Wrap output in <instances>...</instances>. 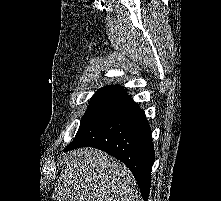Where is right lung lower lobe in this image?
I'll use <instances>...</instances> for the list:
<instances>
[{
  "mask_svg": "<svg viewBox=\"0 0 221 201\" xmlns=\"http://www.w3.org/2000/svg\"><path fill=\"white\" fill-rule=\"evenodd\" d=\"M85 146L99 148L122 161L133 173L147 201L155 161L151 129L143 110L125 89L117 90L64 151Z\"/></svg>",
  "mask_w": 221,
  "mask_h": 201,
  "instance_id": "98d812e1",
  "label": "right lung lower lobe"
}]
</instances>
